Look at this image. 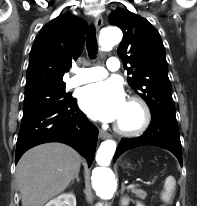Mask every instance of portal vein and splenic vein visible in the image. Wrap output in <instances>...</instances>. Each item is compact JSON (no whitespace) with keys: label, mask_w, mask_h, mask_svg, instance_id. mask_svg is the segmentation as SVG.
I'll use <instances>...</instances> for the list:
<instances>
[{"label":"portal vein and splenic vein","mask_w":197,"mask_h":206,"mask_svg":"<svg viewBox=\"0 0 197 206\" xmlns=\"http://www.w3.org/2000/svg\"><path fill=\"white\" fill-rule=\"evenodd\" d=\"M147 184H151V182H147ZM133 187H135V184H130V185H128V188H133Z\"/></svg>","instance_id":"18ae733b"}]
</instances>
